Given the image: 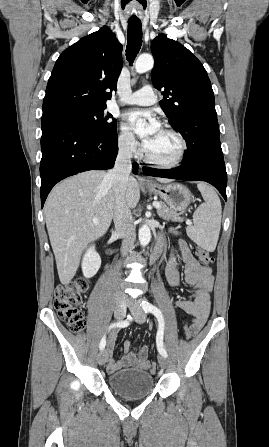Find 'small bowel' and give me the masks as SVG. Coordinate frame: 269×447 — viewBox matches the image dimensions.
<instances>
[{"instance_id":"obj_1","label":"small bowel","mask_w":269,"mask_h":447,"mask_svg":"<svg viewBox=\"0 0 269 447\" xmlns=\"http://www.w3.org/2000/svg\"><path fill=\"white\" fill-rule=\"evenodd\" d=\"M163 247V241L160 239L156 245V251H160ZM175 252L181 254L184 262L185 282L194 289L193 299L185 300L179 299L175 301V306L182 309L192 316V325L196 328H201L206 322L211 307V293L214 288V275L210 267L201 265L192 255L187 244L180 240L177 244ZM166 275L170 284L174 287L182 286V279L180 278L176 269L175 254L169 258L167 263ZM117 334L111 333L107 337V354L109 356L108 371L115 372L119 369L134 366L139 369H147L149 367L148 356H144L142 346L137 351H130V343L127 341L124 344V354L119 360L113 358Z\"/></svg>"}]
</instances>
